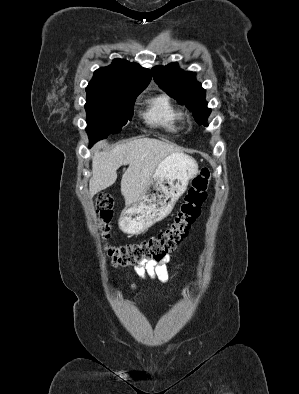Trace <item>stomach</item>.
Masks as SVG:
<instances>
[{
  "label": "stomach",
  "mask_w": 299,
  "mask_h": 394,
  "mask_svg": "<svg viewBox=\"0 0 299 394\" xmlns=\"http://www.w3.org/2000/svg\"><path fill=\"white\" fill-rule=\"evenodd\" d=\"M197 173L198 164L192 157L182 152L168 155L158 165L140 199L122 211L120 229L136 235L164 219Z\"/></svg>",
  "instance_id": "1"
}]
</instances>
